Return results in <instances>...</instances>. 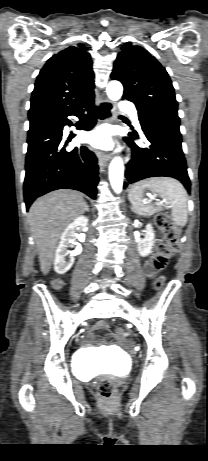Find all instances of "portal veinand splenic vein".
<instances>
[{
	"instance_id": "18ae733b",
	"label": "portal vein and splenic vein",
	"mask_w": 208,
	"mask_h": 461,
	"mask_svg": "<svg viewBox=\"0 0 208 461\" xmlns=\"http://www.w3.org/2000/svg\"><path fill=\"white\" fill-rule=\"evenodd\" d=\"M153 200L158 201V202H156V204H162V201L155 199L153 196H150V199L148 200V202L150 203V202H152Z\"/></svg>"
}]
</instances>
